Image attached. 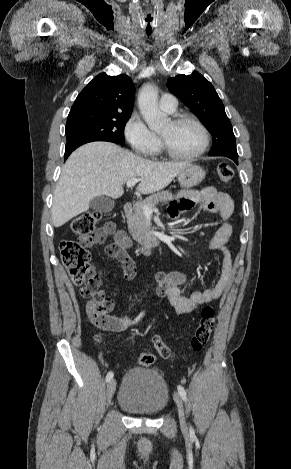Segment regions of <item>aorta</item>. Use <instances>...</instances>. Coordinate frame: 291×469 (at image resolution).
<instances>
[{
    "label": "aorta",
    "mask_w": 291,
    "mask_h": 469,
    "mask_svg": "<svg viewBox=\"0 0 291 469\" xmlns=\"http://www.w3.org/2000/svg\"><path fill=\"white\" fill-rule=\"evenodd\" d=\"M158 91L151 84L142 86L138 96V107L148 127L153 131L163 129L170 121L158 108Z\"/></svg>",
    "instance_id": "762f6f07"
}]
</instances>
